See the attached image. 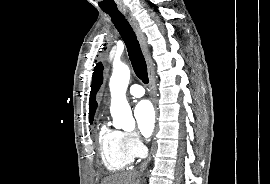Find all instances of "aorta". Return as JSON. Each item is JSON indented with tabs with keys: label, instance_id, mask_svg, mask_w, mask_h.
<instances>
[{
	"label": "aorta",
	"instance_id": "obj_1",
	"mask_svg": "<svg viewBox=\"0 0 270 184\" xmlns=\"http://www.w3.org/2000/svg\"><path fill=\"white\" fill-rule=\"evenodd\" d=\"M129 80V67L123 63L114 64L109 83L111 92L110 112L113 118V125L118 129L126 131H132L135 128V120L126 99Z\"/></svg>",
	"mask_w": 270,
	"mask_h": 184
}]
</instances>
